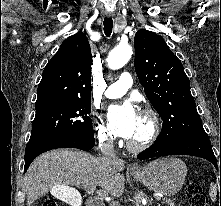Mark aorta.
<instances>
[{"instance_id":"762f6f07","label":"aorta","mask_w":221,"mask_h":206,"mask_svg":"<svg viewBox=\"0 0 221 206\" xmlns=\"http://www.w3.org/2000/svg\"><path fill=\"white\" fill-rule=\"evenodd\" d=\"M132 56V47L129 44H119L108 55V67L116 70L123 67Z\"/></svg>"}]
</instances>
